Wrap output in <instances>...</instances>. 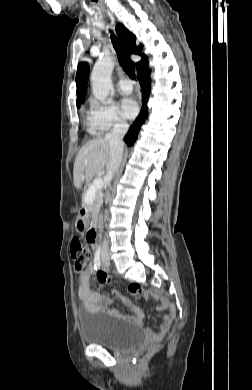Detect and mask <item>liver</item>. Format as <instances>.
I'll use <instances>...</instances> for the list:
<instances>
[{"mask_svg":"<svg viewBox=\"0 0 252 390\" xmlns=\"http://www.w3.org/2000/svg\"><path fill=\"white\" fill-rule=\"evenodd\" d=\"M110 158L109 142L96 138L87 142L79 151L73 169L74 185L78 189L107 166Z\"/></svg>","mask_w":252,"mask_h":390,"instance_id":"6515ba94","label":"liver"}]
</instances>
